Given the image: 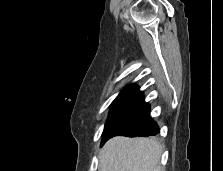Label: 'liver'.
Wrapping results in <instances>:
<instances>
[{"label": "liver", "mask_w": 223, "mask_h": 171, "mask_svg": "<svg viewBox=\"0 0 223 171\" xmlns=\"http://www.w3.org/2000/svg\"><path fill=\"white\" fill-rule=\"evenodd\" d=\"M162 153L154 139L114 137L100 151L99 171H162Z\"/></svg>", "instance_id": "6515ba94"}]
</instances>
